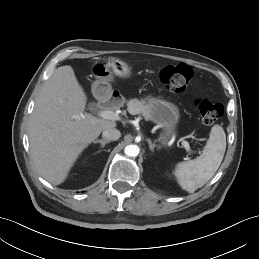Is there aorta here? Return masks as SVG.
Instances as JSON below:
<instances>
[{
    "mask_svg": "<svg viewBox=\"0 0 259 259\" xmlns=\"http://www.w3.org/2000/svg\"><path fill=\"white\" fill-rule=\"evenodd\" d=\"M139 147L134 144L127 145L124 149V153L129 157H136L139 154Z\"/></svg>",
    "mask_w": 259,
    "mask_h": 259,
    "instance_id": "aorta-1",
    "label": "aorta"
}]
</instances>
